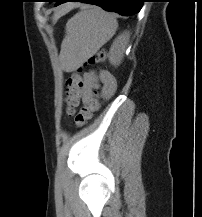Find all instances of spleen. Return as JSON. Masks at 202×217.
Listing matches in <instances>:
<instances>
[{
  "label": "spleen",
  "mask_w": 202,
  "mask_h": 217,
  "mask_svg": "<svg viewBox=\"0 0 202 217\" xmlns=\"http://www.w3.org/2000/svg\"><path fill=\"white\" fill-rule=\"evenodd\" d=\"M117 28L115 16L100 7L80 11L66 24L62 53L72 61L87 58L110 40Z\"/></svg>",
  "instance_id": "3e777b00"
}]
</instances>
